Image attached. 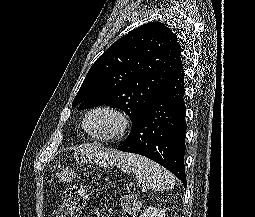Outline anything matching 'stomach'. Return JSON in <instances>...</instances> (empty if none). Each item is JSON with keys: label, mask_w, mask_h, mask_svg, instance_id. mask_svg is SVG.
Here are the masks:
<instances>
[{"label": "stomach", "mask_w": 255, "mask_h": 217, "mask_svg": "<svg viewBox=\"0 0 255 217\" xmlns=\"http://www.w3.org/2000/svg\"><path fill=\"white\" fill-rule=\"evenodd\" d=\"M129 169L130 168H128V170ZM58 176L60 178V181L67 182L75 176V172L72 169H64Z\"/></svg>", "instance_id": "0dacf381"}]
</instances>
